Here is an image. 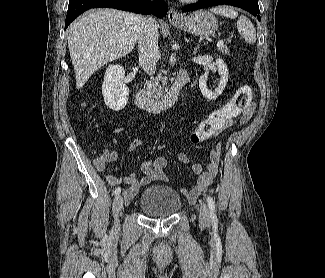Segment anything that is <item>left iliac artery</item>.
I'll return each mask as SVG.
<instances>
[{"label":"left iliac artery","instance_id":"1","mask_svg":"<svg viewBox=\"0 0 325 278\" xmlns=\"http://www.w3.org/2000/svg\"><path fill=\"white\" fill-rule=\"evenodd\" d=\"M207 203H208V206L210 209L211 219H212V221L215 222V221H217V216H216V212H215V202H214L213 198L210 196H207Z\"/></svg>","mask_w":325,"mask_h":278}]
</instances>
